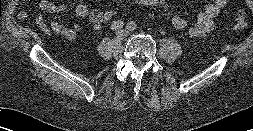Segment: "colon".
<instances>
[{"label":"colon","instance_id":"5ec220e1","mask_svg":"<svg viewBox=\"0 0 253 131\" xmlns=\"http://www.w3.org/2000/svg\"><path fill=\"white\" fill-rule=\"evenodd\" d=\"M138 3L154 8L162 3V0H137ZM120 10L116 6L109 7L103 10V19L104 22H112L118 18ZM247 17L248 13L245 10H239L236 12L233 19V28L236 30L244 29L247 26Z\"/></svg>","mask_w":253,"mask_h":131}]
</instances>
